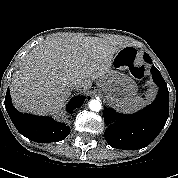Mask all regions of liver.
Wrapping results in <instances>:
<instances>
[{
  "mask_svg": "<svg viewBox=\"0 0 178 178\" xmlns=\"http://www.w3.org/2000/svg\"><path fill=\"white\" fill-rule=\"evenodd\" d=\"M122 42L97 37H56L34 47L12 76L15 106L37 114L58 112L74 90L86 91L105 75Z\"/></svg>",
  "mask_w": 178,
  "mask_h": 178,
  "instance_id": "obj_1",
  "label": "liver"
}]
</instances>
